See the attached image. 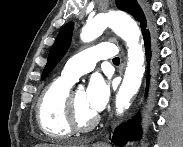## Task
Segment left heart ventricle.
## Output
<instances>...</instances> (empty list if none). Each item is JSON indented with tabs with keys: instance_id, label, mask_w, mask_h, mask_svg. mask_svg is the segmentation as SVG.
Returning <instances> with one entry per match:
<instances>
[{
	"instance_id": "left-heart-ventricle-1",
	"label": "left heart ventricle",
	"mask_w": 183,
	"mask_h": 147,
	"mask_svg": "<svg viewBox=\"0 0 183 147\" xmlns=\"http://www.w3.org/2000/svg\"><path fill=\"white\" fill-rule=\"evenodd\" d=\"M74 102L77 110V115L82 123H86L95 117L86 102V93L83 91H78L74 94Z\"/></svg>"
}]
</instances>
